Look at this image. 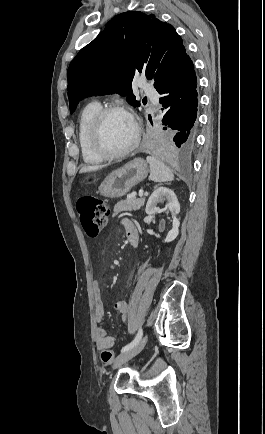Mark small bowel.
Instances as JSON below:
<instances>
[{
    "label": "small bowel",
    "mask_w": 265,
    "mask_h": 434,
    "mask_svg": "<svg viewBox=\"0 0 265 434\" xmlns=\"http://www.w3.org/2000/svg\"><path fill=\"white\" fill-rule=\"evenodd\" d=\"M123 230L128 238V240L132 243L133 246H136L139 242V233L136 225L129 219H124L122 221ZM93 293H94V316L98 323H102L106 316V309L102 294V288L97 280L93 281L92 284ZM128 309V304L126 299H122L118 301L114 310L115 313L122 318V320L126 321V313ZM109 341L110 346L113 348L115 345L114 339L108 334V331L105 327L99 326L95 330V345L98 350H101L103 347L104 341Z\"/></svg>",
    "instance_id": "small-bowel-1"
}]
</instances>
